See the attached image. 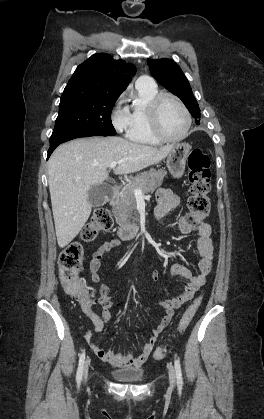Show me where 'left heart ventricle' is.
<instances>
[{
	"label": "left heart ventricle",
	"instance_id": "b2bd125f",
	"mask_svg": "<svg viewBox=\"0 0 264 419\" xmlns=\"http://www.w3.org/2000/svg\"><path fill=\"white\" fill-rule=\"evenodd\" d=\"M160 123L169 137H177L184 131L186 119L181 108L171 99H165L160 107Z\"/></svg>",
	"mask_w": 264,
	"mask_h": 419
}]
</instances>
